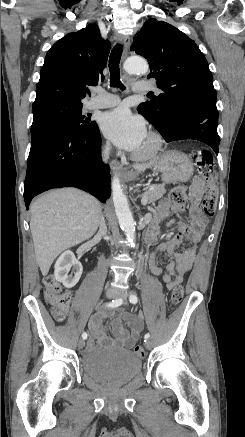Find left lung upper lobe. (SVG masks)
Listing matches in <instances>:
<instances>
[{"label": "left lung upper lobe", "mask_w": 245, "mask_h": 437, "mask_svg": "<svg viewBox=\"0 0 245 437\" xmlns=\"http://www.w3.org/2000/svg\"><path fill=\"white\" fill-rule=\"evenodd\" d=\"M130 50L150 65L147 78H155L162 93L137 110L158 131L166 129L169 115L182 106H196L218 116L216 91L207 60L198 46L174 26L148 19Z\"/></svg>", "instance_id": "left-lung-upper-lobe-1"}]
</instances>
